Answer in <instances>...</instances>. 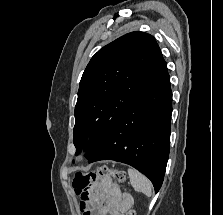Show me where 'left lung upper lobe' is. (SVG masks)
I'll use <instances>...</instances> for the list:
<instances>
[{
  "label": "left lung upper lobe",
  "mask_w": 223,
  "mask_h": 215,
  "mask_svg": "<svg viewBox=\"0 0 223 215\" xmlns=\"http://www.w3.org/2000/svg\"><path fill=\"white\" fill-rule=\"evenodd\" d=\"M164 62L155 38L139 31L121 36L92 57L75 106L76 154L89 135L94 139L85 157L95 154Z\"/></svg>",
  "instance_id": "left-lung-upper-lobe-1"
}]
</instances>
